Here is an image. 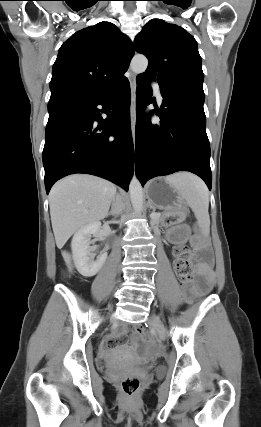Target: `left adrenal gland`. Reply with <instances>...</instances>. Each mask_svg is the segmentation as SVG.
I'll list each match as a JSON object with an SVG mask.
<instances>
[{"label":"left adrenal gland","mask_w":261,"mask_h":427,"mask_svg":"<svg viewBox=\"0 0 261 427\" xmlns=\"http://www.w3.org/2000/svg\"><path fill=\"white\" fill-rule=\"evenodd\" d=\"M150 209H153V206L151 204H149Z\"/></svg>","instance_id":"a2214340"}]
</instances>
